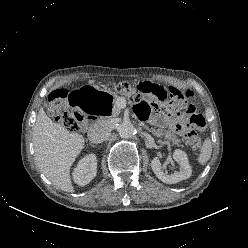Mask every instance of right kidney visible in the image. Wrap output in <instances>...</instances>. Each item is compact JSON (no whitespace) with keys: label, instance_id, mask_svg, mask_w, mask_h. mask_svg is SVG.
Masks as SVG:
<instances>
[{"label":"right kidney","instance_id":"right-kidney-1","mask_svg":"<svg viewBox=\"0 0 248 248\" xmlns=\"http://www.w3.org/2000/svg\"><path fill=\"white\" fill-rule=\"evenodd\" d=\"M97 173V158L95 154H89L82 158L76 168H74L72 176L73 180L79 186L87 185Z\"/></svg>","mask_w":248,"mask_h":248}]
</instances>
